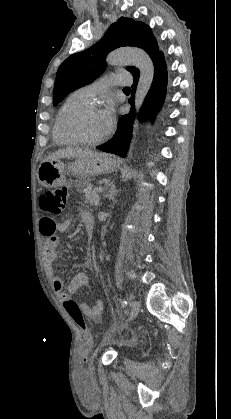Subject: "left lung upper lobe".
<instances>
[{
  "label": "left lung upper lobe",
  "instance_id": "obj_1",
  "mask_svg": "<svg viewBox=\"0 0 231 419\" xmlns=\"http://www.w3.org/2000/svg\"><path fill=\"white\" fill-rule=\"evenodd\" d=\"M125 46L142 48L152 61L160 53L157 41L148 25L121 17L95 45L71 55L60 65L54 84L53 105L56 106L70 92L96 79L105 69L106 55L116 48ZM127 70L132 75L139 73L135 67H127Z\"/></svg>",
  "mask_w": 231,
  "mask_h": 419
}]
</instances>
